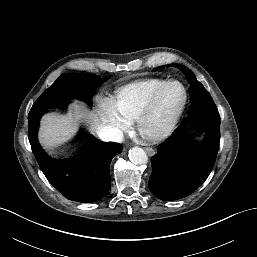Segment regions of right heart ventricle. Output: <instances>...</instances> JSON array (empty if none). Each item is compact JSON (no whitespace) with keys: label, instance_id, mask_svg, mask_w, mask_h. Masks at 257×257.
<instances>
[{"label":"right heart ventricle","instance_id":"e07e8e85","mask_svg":"<svg viewBox=\"0 0 257 257\" xmlns=\"http://www.w3.org/2000/svg\"><path fill=\"white\" fill-rule=\"evenodd\" d=\"M165 82L162 78H145L120 88L114 100L119 112L127 119L136 118L152 94Z\"/></svg>","mask_w":257,"mask_h":257}]
</instances>
